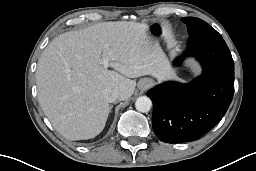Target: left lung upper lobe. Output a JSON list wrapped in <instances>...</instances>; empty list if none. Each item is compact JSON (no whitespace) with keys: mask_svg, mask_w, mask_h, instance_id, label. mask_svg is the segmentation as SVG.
I'll return each mask as SVG.
<instances>
[{"mask_svg":"<svg viewBox=\"0 0 256 171\" xmlns=\"http://www.w3.org/2000/svg\"><path fill=\"white\" fill-rule=\"evenodd\" d=\"M182 21L186 23L190 36H215L221 35L209 26L205 21L196 17H184Z\"/></svg>","mask_w":256,"mask_h":171,"instance_id":"5c2ea615","label":"left lung upper lobe"}]
</instances>
